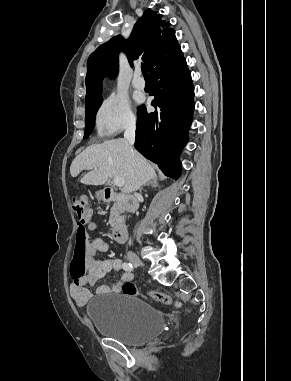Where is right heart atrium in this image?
<instances>
[{
  "mask_svg": "<svg viewBox=\"0 0 291 381\" xmlns=\"http://www.w3.org/2000/svg\"><path fill=\"white\" fill-rule=\"evenodd\" d=\"M95 123L99 134L112 136L122 130L133 128L136 117L126 98L111 95L103 100L98 108Z\"/></svg>",
  "mask_w": 291,
  "mask_h": 381,
  "instance_id": "obj_1",
  "label": "right heart atrium"
}]
</instances>
